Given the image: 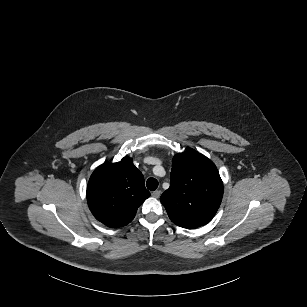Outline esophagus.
Masks as SVG:
<instances>
[{
	"label": "esophagus",
	"instance_id": "1",
	"mask_svg": "<svg viewBox=\"0 0 307 307\" xmlns=\"http://www.w3.org/2000/svg\"><path fill=\"white\" fill-rule=\"evenodd\" d=\"M161 195V191L160 190H157V191H153L152 192V197L154 198H159Z\"/></svg>",
	"mask_w": 307,
	"mask_h": 307
}]
</instances>
